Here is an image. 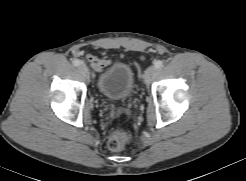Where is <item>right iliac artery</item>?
Returning <instances> with one entry per match:
<instances>
[{"instance_id": "obj_1", "label": "right iliac artery", "mask_w": 246, "mask_h": 181, "mask_svg": "<svg viewBox=\"0 0 246 181\" xmlns=\"http://www.w3.org/2000/svg\"><path fill=\"white\" fill-rule=\"evenodd\" d=\"M72 64H73L74 66H79V65L82 64V62H81L80 60H78V59H75V60L72 61Z\"/></svg>"}]
</instances>
